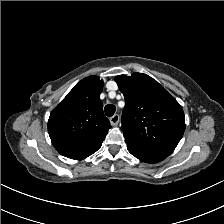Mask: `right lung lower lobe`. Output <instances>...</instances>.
<instances>
[{
    "mask_svg": "<svg viewBox=\"0 0 224 224\" xmlns=\"http://www.w3.org/2000/svg\"><path fill=\"white\" fill-rule=\"evenodd\" d=\"M52 143L61 155L71 159H84L91 155L83 152L80 147L71 140L58 138L53 139Z\"/></svg>",
    "mask_w": 224,
    "mask_h": 224,
    "instance_id": "98d812e1",
    "label": "right lung lower lobe"
}]
</instances>
